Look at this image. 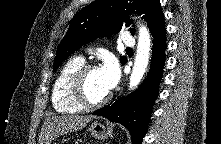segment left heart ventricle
Segmentation results:
<instances>
[{
  "label": "left heart ventricle",
  "mask_w": 221,
  "mask_h": 144,
  "mask_svg": "<svg viewBox=\"0 0 221 144\" xmlns=\"http://www.w3.org/2000/svg\"><path fill=\"white\" fill-rule=\"evenodd\" d=\"M85 90L88 98L92 101L99 100L108 93L102 83L99 69L92 70L87 75Z\"/></svg>",
  "instance_id": "left-heart-ventricle-1"
}]
</instances>
